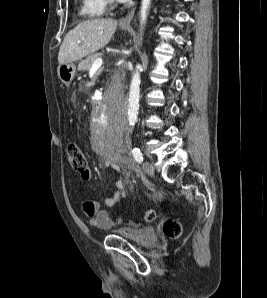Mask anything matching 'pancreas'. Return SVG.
<instances>
[{
	"label": "pancreas",
	"mask_w": 267,
	"mask_h": 298,
	"mask_svg": "<svg viewBox=\"0 0 267 298\" xmlns=\"http://www.w3.org/2000/svg\"><path fill=\"white\" fill-rule=\"evenodd\" d=\"M101 56V53H95L93 55L88 56L86 59L80 62V64L78 65V70L89 71L92 67L93 62Z\"/></svg>",
	"instance_id": "pancreas-1"
}]
</instances>
